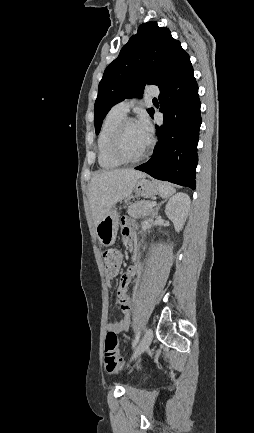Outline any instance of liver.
<instances>
[{"instance_id":"obj_1","label":"liver","mask_w":254,"mask_h":433,"mask_svg":"<svg viewBox=\"0 0 254 433\" xmlns=\"http://www.w3.org/2000/svg\"><path fill=\"white\" fill-rule=\"evenodd\" d=\"M145 177L134 169L98 171L89 185V203L95 226L117 202L127 198L134 190L135 182Z\"/></svg>"}]
</instances>
